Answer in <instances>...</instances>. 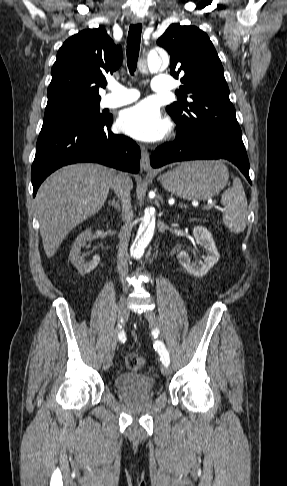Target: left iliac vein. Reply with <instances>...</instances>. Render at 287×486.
Listing matches in <instances>:
<instances>
[{
	"label": "left iliac vein",
	"instance_id": "4c4485c4",
	"mask_svg": "<svg viewBox=\"0 0 287 486\" xmlns=\"http://www.w3.org/2000/svg\"><path fill=\"white\" fill-rule=\"evenodd\" d=\"M145 318L148 320L149 324L155 329V330H158L160 329L161 327V320L159 318V316H157L155 314V312L153 311H148L146 312L145 314ZM161 372L164 376H169L171 375L172 373V370L169 366H163L161 368Z\"/></svg>",
	"mask_w": 287,
	"mask_h": 486
}]
</instances>
